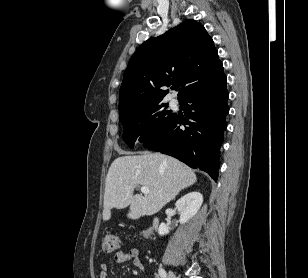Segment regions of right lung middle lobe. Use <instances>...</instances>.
<instances>
[{"mask_svg": "<svg viewBox=\"0 0 308 278\" xmlns=\"http://www.w3.org/2000/svg\"><path fill=\"white\" fill-rule=\"evenodd\" d=\"M160 103L146 106L129 113L120 119L124 126L123 139L130 148L137 139L145 142L166 128L175 114L166 110Z\"/></svg>", "mask_w": 308, "mask_h": 278, "instance_id": "1", "label": "right lung middle lobe"}]
</instances>
